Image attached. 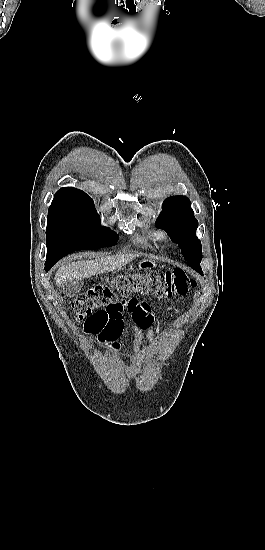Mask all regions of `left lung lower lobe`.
<instances>
[{
	"instance_id": "obj_1",
	"label": "left lung lower lobe",
	"mask_w": 265,
	"mask_h": 550,
	"mask_svg": "<svg viewBox=\"0 0 265 550\" xmlns=\"http://www.w3.org/2000/svg\"><path fill=\"white\" fill-rule=\"evenodd\" d=\"M198 273H200L201 275H203L202 273V270H199V269H195Z\"/></svg>"
}]
</instances>
